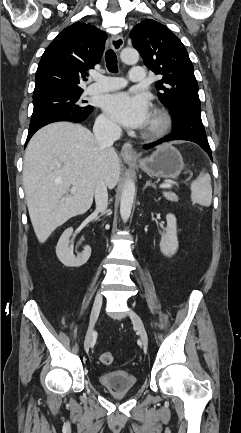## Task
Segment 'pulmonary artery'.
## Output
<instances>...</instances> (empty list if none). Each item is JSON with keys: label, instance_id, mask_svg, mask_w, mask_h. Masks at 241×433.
<instances>
[{"label": "pulmonary artery", "instance_id": "e3ab8cb5", "mask_svg": "<svg viewBox=\"0 0 241 433\" xmlns=\"http://www.w3.org/2000/svg\"><path fill=\"white\" fill-rule=\"evenodd\" d=\"M96 82L87 89L89 94H97L116 90L125 86V81L121 77L97 76ZM129 80L132 83L140 84L146 80V72L142 66H133L130 70Z\"/></svg>", "mask_w": 241, "mask_h": 433}]
</instances>
